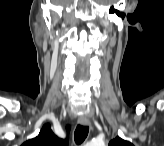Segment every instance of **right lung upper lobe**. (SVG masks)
I'll use <instances>...</instances> for the list:
<instances>
[{
	"instance_id": "obj_1",
	"label": "right lung upper lobe",
	"mask_w": 164,
	"mask_h": 146,
	"mask_svg": "<svg viewBox=\"0 0 164 146\" xmlns=\"http://www.w3.org/2000/svg\"><path fill=\"white\" fill-rule=\"evenodd\" d=\"M66 146L67 140L58 138L51 130L49 124H45L39 135L26 141L23 146Z\"/></svg>"
}]
</instances>
